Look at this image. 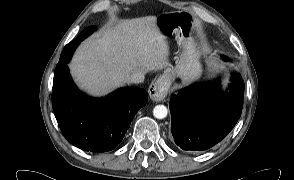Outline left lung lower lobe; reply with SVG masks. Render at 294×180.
I'll list each match as a JSON object with an SVG mask.
<instances>
[{"label":"left lung lower lobe","instance_id":"obj_1","mask_svg":"<svg viewBox=\"0 0 294 180\" xmlns=\"http://www.w3.org/2000/svg\"><path fill=\"white\" fill-rule=\"evenodd\" d=\"M243 92L244 83L235 75L225 93L217 81L187 87L174 95L170 112L175 143L183 150L202 151L220 142L241 115Z\"/></svg>","mask_w":294,"mask_h":180}]
</instances>
